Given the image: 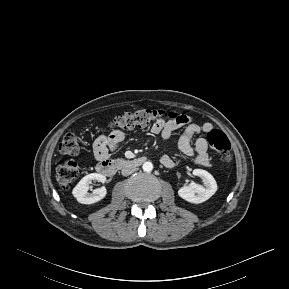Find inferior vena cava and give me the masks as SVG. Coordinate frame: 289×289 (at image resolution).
<instances>
[{"label": "inferior vena cava", "instance_id": "602c4592", "mask_svg": "<svg viewBox=\"0 0 289 289\" xmlns=\"http://www.w3.org/2000/svg\"><path fill=\"white\" fill-rule=\"evenodd\" d=\"M136 170H137L136 167L128 166V167L123 168L121 173L123 176H128L132 174L133 172H135Z\"/></svg>", "mask_w": 289, "mask_h": 289}]
</instances>
